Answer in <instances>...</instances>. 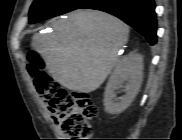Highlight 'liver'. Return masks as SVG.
I'll return each mask as SVG.
<instances>
[{"label":"liver","instance_id":"6515ba94","mask_svg":"<svg viewBox=\"0 0 182 140\" xmlns=\"http://www.w3.org/2000/svg\"><path fill=\"white\" fill-rule=\"evenodd\" d=\"M51 34H35L32 48L52 78L63 87L90 93L119 63L118 51L128 41L129 27L96 10H76L53 24Z\"/></svg>","mask_w":182,"mask_h":140}]
</instances>
